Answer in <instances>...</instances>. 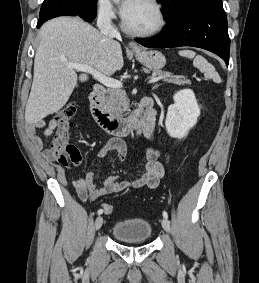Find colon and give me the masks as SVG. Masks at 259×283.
I'll list each match as a JSON object with an SVG mask.
<instances>
[{
  "instance_id": "colon-1",
  "label": "colon",
  "mask_w": 259,
  "mask_h": 283,
  "mask_svg": "<svg viewBox=\"0 0 259 283\" xmlns=\"http://www.w3.org/2000/svg\"><path fill=\"white\" fill-rule=\"evenodd\" d=\"M77 105L69 102L63 106L55 115L56 132L46 151L48 159L57 161L63 165L78 164L81 161V154L77 147L68 143L72 120L76 114ZM105 214L113 212V206L106 203L102 206Z\"/></svg>"
}]
</instances>
